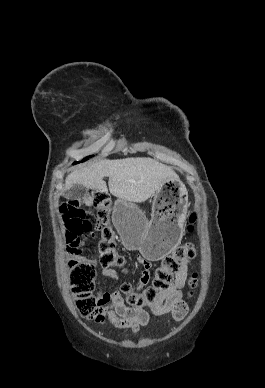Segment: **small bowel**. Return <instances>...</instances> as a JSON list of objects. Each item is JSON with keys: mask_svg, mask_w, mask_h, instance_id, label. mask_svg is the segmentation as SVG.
Instances as JSON below:
<instances>
[{"mask_svg": "<svg viewBox=\"0 0 265 388\" xmlns=\"http://www.w3.org/2000/svg\"><path fill=\"white\" fill-rule=\"evenodd\" d=\"M87 262L94 266L97 264L96 259H88ZM137 262L142 268L140 279L136 285V289L139 290L146 287L151 279L152 263L141 256L137 258ZM189 265V260L180 264L175 273L173 283L165 291L161 292L156 302L150 306L151 312L154 315L162 316L170 314L174 321H180L186 316L188 307L182 300V289L185 287L187 281ZM103 275L110 278H117L116 272L111 268L105 267L103 269ZM97 298L103 317H106L118 329L137 332L149 322V313L143 309L128 307L119 290H100Z\"/></svg>", "mask_w": 265, "mask_h": 388, "instance_id": "small-bowel-1", "label": "small bowel"}]
</instances>
